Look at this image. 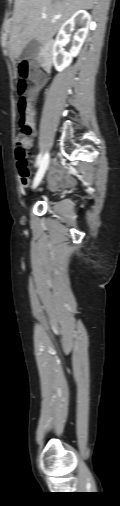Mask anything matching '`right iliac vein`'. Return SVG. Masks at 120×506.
Listing matches in <instances>:
<instances>
[{
	"mask_svg": "<svg viewBox=\"0 0 120 506\" xmlns=\"http://www.w3.org/2000/svg\"><path fill=\"white\" fill-rule=\"evenodd\" d=\"M44 161H48V164H49L50 158H49V154L48 153H46L44 155L43 160H42V164H43ZM47 168H48V166H47ZM47 168L45 169V171H43L42 167L40 166L39 171H38V173H37V175H36V177L34 179L33 188H35L40 183V181L42 180V178H43V176H44V174H45V172L47 170ZM42 172H43V176H42L41 179H39L38 174L42 173Z\"/></svg>",
	"mask_w": 120,
	"mask_h": 506,
	"instance_id": "1",
	"label": "right iliac vein"
}]
</instances>
